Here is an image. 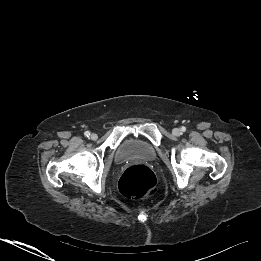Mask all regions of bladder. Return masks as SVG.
<instances>
[{
	"label": "bladder",
	"mask_w": 261,
	"mask_h": 261,
	"mask_svg": "<svg viewBox=\"0 0 261 261\" xmlns=\"http://www.w3.org/2000/svg\"><path fill=\"white\" fill-rule=\"evenodd\" d=\"M155 156L153 145L143 140L130 139L119 147L116 159L120 163L131 160L152 161Z\"/></svg>",
	"instance_id": "1"
}]
</instances>
